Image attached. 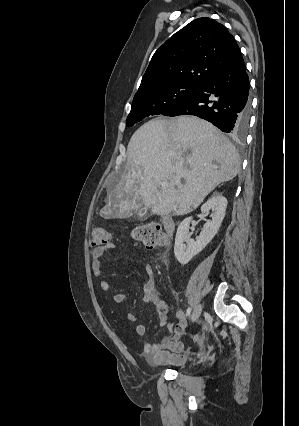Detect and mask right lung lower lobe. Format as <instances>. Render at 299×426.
<instances>
[{"label": "right lung lower lobe", "mask_w": 299, "mask_h": 426, "mask_svg": "<svg viewBox=\"0 0 299 426\" xmlns=\"http://www.w3.org/2000/svg\"><path fill=\"white\" fill-rule=\"evenodd\" d=\"M249 88V78L240 55L166 116L195 115L223 132L242 137L251 110Z\"/></svg>", "instance_id": "98d812e1"}]
</instances>
